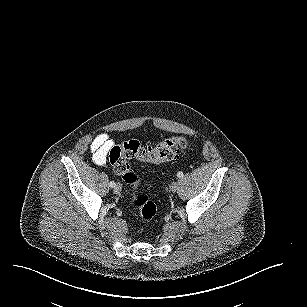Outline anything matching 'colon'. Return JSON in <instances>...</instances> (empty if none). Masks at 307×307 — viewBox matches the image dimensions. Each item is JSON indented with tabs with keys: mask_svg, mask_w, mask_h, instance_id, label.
Instances as JSON below:
<instances>
[{
	"mask_svg": "<svg viewBox=\"0 0 307 307\" xmlns=\"http://www.w3.org/2000/svg\"><path fill=\"white\" fill-rule=\"evenodd\" d=\"M188 141L182 136L169 137L155 145H143L137 140H129L113 146L109 151V162L114 171L121 175L128 185L131 206L139 212L143 223H149L156 215L155 203L144 194L137 192L139 176L131 169L129 160L142 163L166 164L174 160L187 147Z\"/></svg>",
	"mask_w": 307,
	"mask_h": 307,
	"instance_id": "5ec220e1",
	"label": "colon"
}]
</instances>
